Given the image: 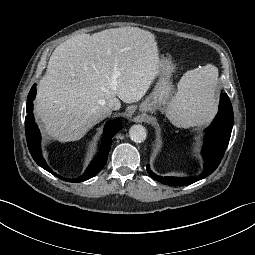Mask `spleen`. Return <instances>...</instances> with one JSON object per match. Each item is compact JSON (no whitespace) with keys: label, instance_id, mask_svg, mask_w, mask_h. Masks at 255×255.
Listing matches in <instances>:
<instances>
[{"label":"spleen","instance_id":"obj_1","mask_svg":"<svg viewBox=\"0 0 255 255\" xmlns=\"http://www.w3.org/2000/svg\"><path fill=\"white\" fill-rule=\"evenodd\" d=\"M217 83L218 69L211 64L187 71L166 109L170 122L180 128L208 123L216 109Z\"/></svg>","mask_w":255,"mask_h":255}]
</instances>
